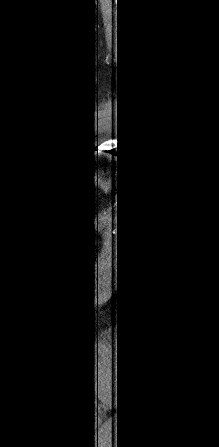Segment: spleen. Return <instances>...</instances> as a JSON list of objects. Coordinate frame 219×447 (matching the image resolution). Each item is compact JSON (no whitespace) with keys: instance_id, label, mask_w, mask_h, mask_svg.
<instances>
[{"instance_id":"obj_1","label":"spleen","mask_w":219,"mask_h":447,"mask_svg":"<svg viewBox=\"0 0 219 447\" xmlns=\"http://www.w3.org/2000/svg\"><path fill=\"white\" fill-rule=\"evenodd\" d=\"M109 187H110V183H109V182H108V183H102V182H101V188H102L105 192L108 191Z\"/></svg>"}]
</instances>
